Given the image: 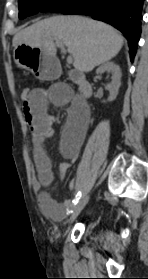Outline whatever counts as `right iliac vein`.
Wrapping results in <instances>:
<instances>
[{
	"label": "right iliac vein",
	"instance_id": "obj_1",
	"mask_svg": "<svg viewBox=\"0 0 148 279\" xmlns=\"http://www.w3.org/2000/svg\"><path fill=\"white\" fill-rule=\"evenodd\" d=\"M89 200V196L88 195H84L76 204V206L73 209V212L70 216L69 219V224H71L76 218L77 216L80 214V212L82 211V209L86 206V204L88 203Z\"/></svg>",
	"mask_w": 148,
	"mask_h": 279
}]
</instances>
